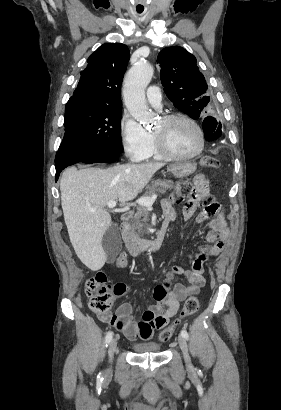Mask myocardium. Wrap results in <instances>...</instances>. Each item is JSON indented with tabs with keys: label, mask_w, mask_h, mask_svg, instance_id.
I'll use <instances>...</instances> for the list:
<instances>
[{
	"label": "myocardium",
	"mask_w": 281,
	"mask_h": 410,
	"mask_svg": "<svg viewBox=\"0 0 281 410\" xmlns=\"http://www.w3.org/2000/svg\"><path fill=\"white\" fill-rule=\"evenodd\" d=\"M185 120L187 122H189L197 131L198 135H199V147L198 149L188 155H180V154H176L173 151H171L169 149V147L166 145L165 141L163 140L162 137H160L159 135L153 133V137L157 146L158 151L160 152V154L168 159V160H189V159H193L197 156H199L204 148H205V134L204 131L202 129V127L200 126V124L191 116L184 114V113H173V114H168L165 115L161 118V121L165 124H168L172 121L175 120Z\"/></svg>",
	"instance_id": "myocardium-1"
}]
</instances>
